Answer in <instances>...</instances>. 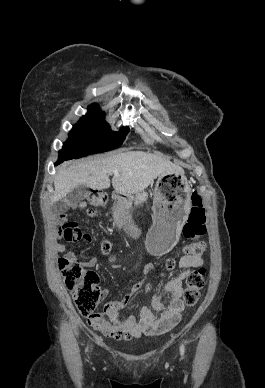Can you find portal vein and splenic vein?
Returning a JSON list of instances; mask_svg holds the SVG:
<instances>
[{
	"instance_id": "18ae733b",
	"label": "portal vein and splenic vein",
	"mask_w": 265,
	"mask_h": 388,
	"mask_svg": "<svg viewBox=\"0 0 265 388\" xmlns=\"http://www.w3.org/2000/svg\"><path fill=\"white\" fill-rule=\"evenodd\" d=\"M112 174H114V176H119L118 170H113Z\"/></svg>"
}]
</instances>
